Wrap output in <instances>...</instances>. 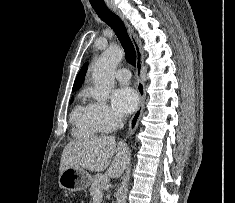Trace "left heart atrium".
I'll return each mask as SVG.
<instances>
[{"label":"left heart atrium","instance_id":"1","mask_svg":"<svg viewBox=\"0 0 235 203\" xmlns=\"http://www.w3.org/2000/svg\"><path fill=\"white\" fill-rule=\"evenodd\" d=\"M111 103L117 114L125 116L136 109L138 105V95L133 88L121 86L113 91Z\"/></svg>","mask_w":235,"mask_h":203}]
</instances>
